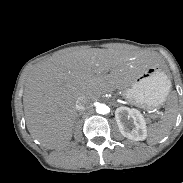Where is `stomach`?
I'll use <instances>...</instances> for the list:
<instances>
[{
	"mask_svg": "<svg viewBox=\"0 0 183 183\" xmlns=\"http://www.w3.org/2000/svg\"><path fill=\"white\" fill-rule=\"evenodd\" d=\"M170 88L171 83L165 72L149 67L136 74L123 90L129 101L146 108H156L166 101Z\"/></svg>",
	"mask_w": 183,
	"mask_h": 183,
	"instance_id": "1",
	"label": "stomach"
}]
</instances>
